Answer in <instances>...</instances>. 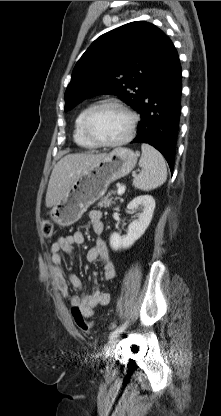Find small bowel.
I'll return each mask as SVG.
<instances>
[{"mask_svg": "<svg viewBox=\"0 0 221 416\" xmlns=\"http://www.w3.org/2000/svg\"><path fill=\"white\" fill-rule=\"evenodd\" d=\"M88 219L94 233L98 236L101 235L104 230L102 213L99 210H91L88 213ZM83 242L84 233L82 231L59 237L51 247L49 276L55 289L64 299L69 300L71 308L78 307L85 317H91L97 306L109 304L110 294L99 289H94L91 293H85L81 279L74 273L68 274L66 278L62 268V251L71 252L73 246L80 245ZM87 260L101 264L105 280H111L115 277V266L103 240L97 239L95 245L87 253ZM69 284L78 292L77 295L70 294Z\"/></svg>", "mask_w": 221, "mask_h": 416, "instance_id": "1", "label": "small bowel"}]
</instances>
